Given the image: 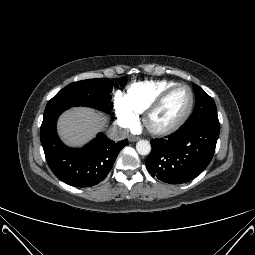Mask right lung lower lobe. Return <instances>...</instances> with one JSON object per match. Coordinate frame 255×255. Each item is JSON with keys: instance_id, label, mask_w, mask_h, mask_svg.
I'll return each mask as SVG.
<instances>
[{"instance_id": "right-lung-lower-lobe-1", "label": "right lung lower lobe", "mask_w": 255, "mask_h": 255, "mask_svg": "<svg viewBox=\"0 0 255 255\" xmlns=\"http://www.w3.org/2000/svg\"><path fill=\"white\" fill-rule=\"evenodd\" d=\"M67 108L45 110L40 138L47 163L54 175L71 186L91 187L105 179L127 139L114 142L103 133L85 145L65 146L56 132L58 116Z\"/></svg>"}]
</instances>
